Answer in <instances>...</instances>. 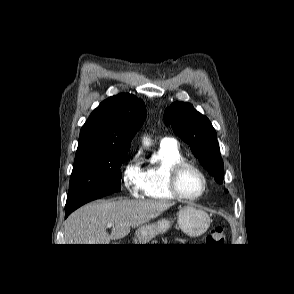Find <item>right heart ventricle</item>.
I'll return each mask as SVG.
<instances>
[{"instance_id":"right-heart-ventricle-1","label":"right heart ventricle","mask_w":294,"mask_h":294,"mask_svg":"<svg viewBox=\"0 0 294 294\" xmlns=\"http://www.w3.org/2000/svg\"><path fill=\"white\" fill-rule=\"evenodd\" d=\"M183 159L176 145L160 144L155 154V161L143 167L142 193L144 197L159 201L176 199L168 187L169 170L175 162Z\"/></svg>"}]
</instances>
